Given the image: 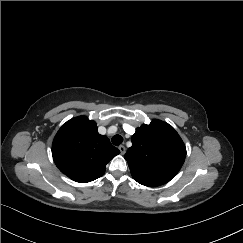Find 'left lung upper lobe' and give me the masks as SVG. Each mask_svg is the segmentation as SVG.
I'll return each mask as SVG.
<instances>
[{
    "label": "left lung upper lobe",
    "mask_w": 243,
    "mask_h": 243,
    "mask_svg": "<svg viewBox=\"0 0 243 243\" xmlns=\"http://www.w3.org/2000/svg\"><path fill=\"white\" fill-rule=\"evenodd\" d=\"M131 141L125 159L132 177L142 185L155 187L169 182L184 163L186 147L166 122L153 120L149 125L143 124Z\"/></svg>",
    "instance_id": "5c2ea615"
}]
</instances>
